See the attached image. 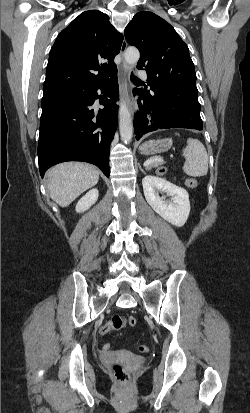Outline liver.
Instances as JSON below:
<instances>
[{"instance_id":"6515ba94","label":"liver","mask_w":250,"mask_h":413,"mask_svg":"<svg viewBox=\"0 0 250 413\" xmlns=\"http://www.w3.org/2000/svg\"><path fill=\"white\" fill-rule=\"evenodd\" d=\"M47 178L51 199L61 207H67L98 183L99 173L88 164L65 162L49 169Z\"/></svg>"}]
</instances>
